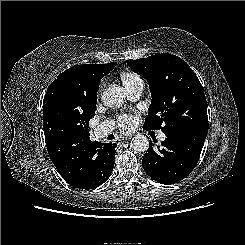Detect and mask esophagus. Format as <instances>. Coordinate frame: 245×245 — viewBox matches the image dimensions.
Returning <instances> with one entry per match:
<instances>
[{"mask_svg":"<svg viewBox=\"0 0 245 245\" xmlns=\"http://www.w3.org/2000/svg\"><path fill=\"white\" fill-rule=\"evenodd\" d=\"M131 139H132V136L123 138V140H125V141H130Z\"/></svg>","mask_w":245,"mask_h":245,"instance_id":"34e87169","label":"esophagus"}]
</instances>
